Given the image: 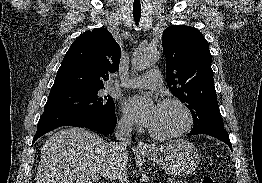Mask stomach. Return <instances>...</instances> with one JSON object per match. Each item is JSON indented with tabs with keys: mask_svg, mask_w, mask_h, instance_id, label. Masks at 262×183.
I'll return each instance as SVG.
<instances>
[{
	"mask_svg": "<svg viewBox=\"0 0 262 183\" xmlns=\"http://www.w3.org/2000/svg\"><path fill=\"white\" fill-rule=\"evenodd\" d=\"M142 155L176 176L194 172L200 157L197 148L186 140H172Z\"/></svg>",
	"mask_w": 262,
	"mask_h": 183,
	"instance_id": "stomach-1",
	"label": "stomach"
}]
</instances>
